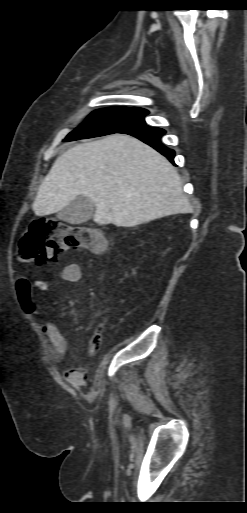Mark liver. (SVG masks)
Masks as SVG:
<instances>
[{
  "label": "liver",
  "instance_id": "obj_1",
  "mask_svg": "<svg viewBox=\"0 0 247 513\" xmlns=\"http://www.w3.org/2000/svg\"><path fill=\"white\" fill-rule=\"evenodd\" d=\"M95 205L97 224L134 227L192 210L176 169L159 152L126 134L73 146L41 183L32 208L59 212L77 196Z\"/></svg>",
  "mask_w": 247,
  "mask_h": 513
}]
</instances>
